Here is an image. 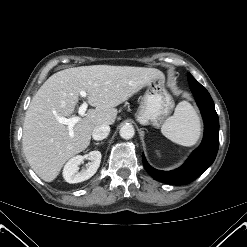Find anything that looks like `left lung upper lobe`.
Wrapping results in <instances>:
<instances>
[{"label":"left lung upper lobe","mask_w":247,"mask_h":247,"mask_svg":"<svg viewBox=\"0 0 247 247\" xmlns=\"http://www.w3.org/2000/svg\"><path fill=\"white\" fill-rule=\"evenodd\" d=\"M187 75H188V77L192 76L190 73H188Z\"/></svg>","instance_id":"5c2ea615"}]
</instances>
